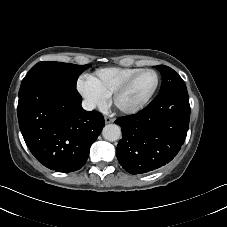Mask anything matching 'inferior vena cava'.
Masks as SVG:
<instances>
[{
	"label": "inferior vena cava",
	"instance_id": "602c4592",
	"mask_svg": "<svg viewBox=\"0 0 227 227\" xmlns=\"http://www.w3.org/2000/svg\"><path fill=\"white\" fill-rule=\"evenodd\" d=\"M82 107L87 111H92L95 109V104L91 102L90 100H83Z\"/></svg>",
	"mask_w": 227,
	"mask_h": 227
}]
</instances>
